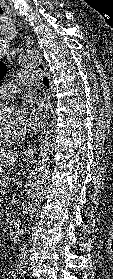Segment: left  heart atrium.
I'll use <instances>...</instances> for the list:
<instances>
[{
	"mask_svg": "<svg viewBox=\"0 0 113 279\" xmlns=\"http://www.w3.org/2000/svg\"><path fill=\"white\" fill-rule=\"evenodd\" d=\"M24 132H34L40 128L49 115V103L46 99L28 98L20 109Z\"/></svg>",
	"mask_w": 113,
	"mask_h": 279,
	"instance_id": "39dd6f15",
	"label": "left heart atrium"
}]
</instances>
